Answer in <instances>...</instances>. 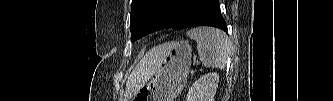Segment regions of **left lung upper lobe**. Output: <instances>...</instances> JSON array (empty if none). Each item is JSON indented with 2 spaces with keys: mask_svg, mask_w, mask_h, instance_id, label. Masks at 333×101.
Segmentation results:
<instances>
[{
  "mask_svg": "<svg viewBox=\"0 0 333 101\" xmlns=\"http://www.w3.org/2000/svg\"><path fill=\"white\" fill-rule=\"evenodd\" d=\"M183 19L181 0H132L130 31L132 41L162 28L179 30Z\"/></svg>",
  "mask_w": 333,
  "mask_h": 101,
  "instance_id": "obj_1",
  "label": "left lung upper lobe"
}]
</instances>
